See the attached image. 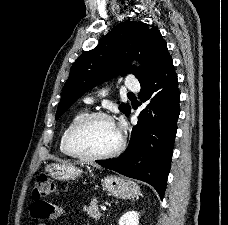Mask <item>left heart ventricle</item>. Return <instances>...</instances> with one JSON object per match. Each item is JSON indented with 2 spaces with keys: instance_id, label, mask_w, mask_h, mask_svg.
<instances>
[{
  "instance_id": "b2bd125f",
  "label": "left heart ventricle",
  "mask_w": 228,
  "mask_h": 225,
  "mask_svg": "<svg viewBox=\"0 0 228 225\" xmlns=\"http://www.w3.org/2000/svg\"><path fill=\"white\" fill-rule=\"evenodd\" d=\"M119 143L116 126L104 119H94L86 124L75 137L76 147L85 153L102 154L114 149Z\"/></svg>"
}]
</instances>
